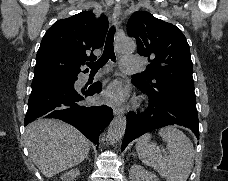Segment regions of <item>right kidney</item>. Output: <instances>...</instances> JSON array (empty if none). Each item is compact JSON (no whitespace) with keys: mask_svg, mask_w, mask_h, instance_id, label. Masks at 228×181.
<instances>
[{"mask_svg":"<svg viewBox=\"0 0 228 181\" xmlns=\"http://www.w3.org/2000/svg\"><path fill=\"white\" fill-rule=\"evenodd\" d=\"M78 175H80V171H77V169H72V171L64 173L60 179L61 181H76Z\"/></svg>","mask_w":228,"mask_h":181,"instance_id":"ca27d5eb","label":"right kidney"}]
</instances>
